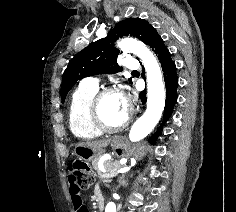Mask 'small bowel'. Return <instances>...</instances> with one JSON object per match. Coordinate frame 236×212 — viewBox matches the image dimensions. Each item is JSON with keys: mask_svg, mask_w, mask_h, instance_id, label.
I'll use <instances>...</instances> for the list:
<instances>
[{"mask_svg": "<svg viewBox=\"0 0 236 212\" xmlns=\"http://www.w3.org/2000/svg\"><path fill=\"white\" fill-rule=\"evenodd\" d=\"M68 184L70 187L67 191L70 193L66 194L69 202H72L74 212H87L82 203L83 190H87V185H82L81 180L78 179V175H67Z\"/></svg>", "mask_w": 236, "mask_h": 212, "instance_id": "c3829d8e", "label": "small bowel"}]
</instances>
